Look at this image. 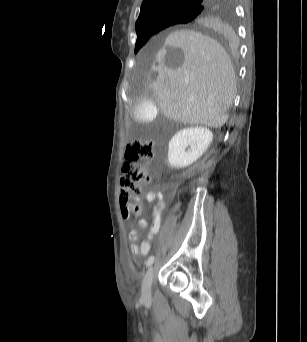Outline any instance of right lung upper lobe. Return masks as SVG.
Masks as SVG:
<instances>
[{
	"mask_svg": "<svg viewBox=\"0 0 307 342\" xmlns=\"http://www.w3.org/2000/svg\"><path fill=\"white\" fill-rule=\"evenodd\" d=\"M184 9L200 11L197 17L187 22L194 28L217 37L227 34L228 0H144L136 22V32L157 26L167 13Z\"/></svg>",
	"mask_w": 307,
	"mask_h": 342,
	"instance_id": "1",
	"label": "right lung upper lobe"
}]
</instances>
